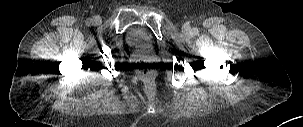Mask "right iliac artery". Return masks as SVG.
<instances>
[{
  "label": "right iliac artery",
  "instance_id": "1",
  "mask_svg": "<svg viewBox=\"0 0 303 127\" xmlns=\"http://www.w3.org/2000/svg\"><path fill=\"white\" fill-rule=\"evenodd\" d=\"M93 23V21H92V19H87L86 20V24L89 26V25H91Z\"/></svg>",
  "mask_w": 303,
  "mask_h": 127
}]
</instances>
